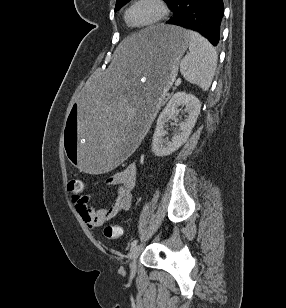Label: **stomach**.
Returning <instances> with one entry per match:
<instances>
[{"label":"stomach","mask_w":286,"mask_h":308,"mask_svg":"<svg viewBox=\"0 0 286 308\" xmlns=\"http://www.w3.org/2000/svg\"><path fill=\"white\" fill-rule=\"evenodd\" d=\"M127 36L99 81L81 91L66 118L63 149L75 173L101 177L121 168L154 125L172 86L182 55L190 44L187 31L160 24Z\"/></svg>","instance_id":"obj_1"}]
</instances>
